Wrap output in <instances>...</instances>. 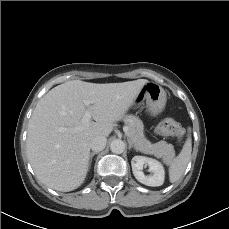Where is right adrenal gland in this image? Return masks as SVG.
Masks as SVG:
<instances>
[{
	"mask_svg": "<svg viewBox=\"0 0 229 229\" xmlns=\"http://www.w3.org/2000/svg\"><path fill=\"white\" fill-rule=\"evenodd\" d=\"M99 152H92L90 153L89 155V166L91 165V162H92V158L94 157V155L98 154Z\"/></svg>",
	"mask_w": 229,
	"mask_h": 229,
	"instance_id": "2a0ac1e0",
	"label": "right adrenal gland"
}]
</instances>
